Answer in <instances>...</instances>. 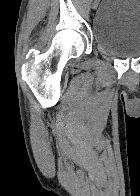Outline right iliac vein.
Returning a JSON list of instances; mask_svg holds the SVG:
<instances>
[{"mask_svg": "<svg viewBox=\"0 0 140 196\" xmlns=\"http://www.w3.org/2000/svg\"><path fill=\"white\" fill-rule=\"evenodd\" d=\"M97 4H98V2H97V1H94L92 8H93V9H96Z\"/></svg>", "mask_w": 140, "mask_h": 196, "instance_id": "1", "label": "right iliac vein"}]
</instances>
